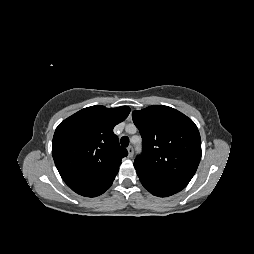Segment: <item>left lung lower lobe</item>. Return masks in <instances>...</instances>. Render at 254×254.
Here are the masks:
<instances>
[{
	"mask_svg": "<svg viewBox=\"0 0 254 254\" xmlns=\"http://www.w3.org/2000/svg\"><path fill=\"white\" fill-rule=\"evenodd\" d=\"M142 185L153 195L167 197L184 189L188 182L165 178L151 174L144 169L134 166Z\"/></svg>",
	"mask_w": 254,
	"mask_h": 254,
	"instance_id": "left-lung-lower-lobe-1",
	"label": "left lung lower lobe"
}]
</instances>
